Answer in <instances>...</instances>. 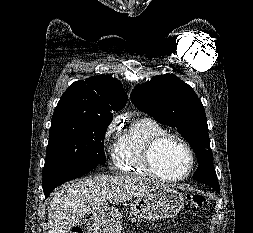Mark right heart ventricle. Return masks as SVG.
<instances>
[{"mask_svg": "<svg viewBox=\"0 0 253 233\" xmlns=\"http://www.w3.org/2000/svg\"><path fill=\"white\" fill-rule=\"evenodd\" d=\"M164 128L151 117H143L134 121L118 137L112 160L120 172L152 176L144 165V152L148 142L165 134Z\"/></svg>", "mask_w": 253, "mask_h": 233, "instance_id": "obj_1", "label": "right heart ventricle"}]
</instances>
